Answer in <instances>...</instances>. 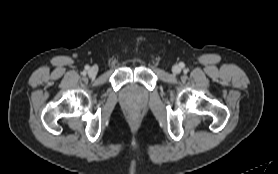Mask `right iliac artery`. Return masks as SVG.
Masks as SVG:
<instances>
[{
  "instance_id": "1",
  "label": "right iliac artery",
  "mask_w": 278,
  "mask_h": 174,
  "mask_svg": "<svg viewBox=\"0 0 278 174\" xmlns=\"http://www.w3.org/2000/svg\"><path fill=\"white\" fill-rule=\"evenodd\" d=\"M85 68H86V70H88V69H89V66H86Z\"/></svg>"
}]
</instances>
